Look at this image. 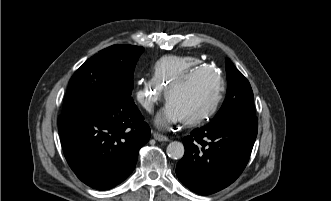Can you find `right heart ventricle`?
Returning <instances> with one entry per match:
<instances>
[{"mask_svg": "<svg viewBox=\"0 0 331 201\" xmlns=\"http://www.w3.org/2000/svg\"><path fill=\"white\" fill-rule=\"evenodd\" d=\"M205 66L198 58L192 56H166L153 66L152 79L161 86H170L189 71Z\"/></svg>", "mask_w": 331, "mask_h": 201, "instance_id": "1", "label": "right heart ventricle"}]
</instances>
